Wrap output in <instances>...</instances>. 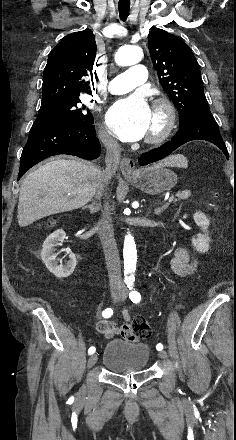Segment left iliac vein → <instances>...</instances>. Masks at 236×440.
Masks as SVG:
<instances>
[{
	"label": "left iliac vein",
	"mask_w": 236,
	"mask_h": 440,
	"mask_svg": "<svg viewBox=\"0 0 236 440\" xmlns=\"http://www.w3.org/2000/svg\"><path fill=\"white\" fill-rule=\"evenodd\" d=\"M126 297H127V294H126V293H122V295L120 296L119 300H120V301H124V300L126 299ZM158 356H159L161 359H167V353H166L165 351H160V352L158 353Z\"/></svg>",
	"instance_id": "left-iliac-vein-1"
}]
</instances>
